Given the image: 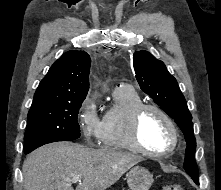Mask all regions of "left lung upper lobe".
Segmentation results:
<instances>
[{"label":"left lung upper lobe","mask_w":221,"mask_h":190,"mask_svg":"<svg viewBox=\"0 0 221 190\" xmlns=\"http://www.w3.org/2000/svg\"><path fill=\"white\" fill-rule=\"evenodd\" d=\"M133 67L141 89L175 120L184 133L187 143L184 169L194 181L199 180L195 162L196 140L192 116L176 79L168 72L162 61L147 51L134 53Z\"/></svg>","instance_id":"1"}]
</instances>
